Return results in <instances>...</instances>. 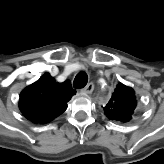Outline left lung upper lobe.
I'll list each match as a JSON object with an SVG mask.
<instances>
[{"label": "left lung upper lobe", "mask_w": 164, "mask_h": 164, "mask_svg": "<svg viewBox=\"0 0 164 164\" xmlns=\"http://www.w3.org/2000/svg\"><path fill=\"white\" fill-rule=\"evenodd\" d=\"M136 104L134 90L119 83L104 112L110 120L127 122L132 118Z\"/></svg>", "instance_id": "obj_1"}]
</instances>
